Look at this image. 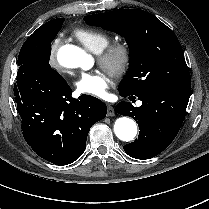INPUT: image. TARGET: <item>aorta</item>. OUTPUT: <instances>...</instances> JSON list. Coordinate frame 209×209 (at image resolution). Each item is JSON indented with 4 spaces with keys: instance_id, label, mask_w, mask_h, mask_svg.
Returning <instances> with one entry per match:
<instances>
[{
    "instance_id": "aorta-1",
    "label": "aorta",
    "mask_w": 209,
    "mask_h": 209,
    "mask_svg": "<svg viewBox=\"0 0 209 209\" xmlns=\"http://www.w3.org/2000/svg\"><path fill=\"white\" fill-rule=\"evenodd\" d=\"M60 65L66 68H82L88 70L93 65V59L83 49L75 45H64L57 53ZM115 135L122 141H131L137 134L136 122L129 117H120L114 124Z\"/></svg>"
}]
</instances>
